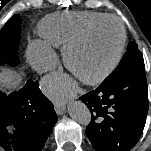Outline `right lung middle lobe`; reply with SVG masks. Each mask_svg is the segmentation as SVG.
I'll use <instances>...</instances> for the list:
<instances>
[{
	"label": "right lung middle lobe",
	"instance_id": "dd1d6c3e",
	"mask_svg": "<svg viewBox=\"0 0 151 151\" xmlns=\"http://www.w3.org/2000/svg\"><path fill=\"white\" fill-rule=\"evenodd\" d=\"M20 16L14 15L0 30V63L17 64L18 44L20 42Z\"/></svg>",
	"mask_w": 151,
	"mask_h": 151
}]
</instances>
